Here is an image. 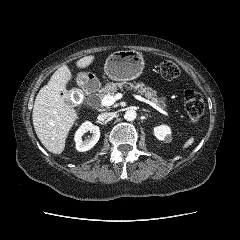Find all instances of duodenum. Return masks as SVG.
<instances>
[{"label":"duodenum","instance_id":"duodenum-1","mask_svg":"<svg viewBox=\"0 0 240 240\" xmlns=\"http://www.w3.org/2000/svg\"><path fill=\"white\" fill-rule=\"evenodd\" d=\"M83 86L87 89L89 93H94L98 89V85L93 80H86Z\"/></svg>","mask_w":240,"mask_h":240}]
</instances>
